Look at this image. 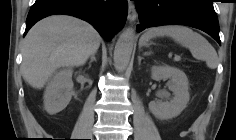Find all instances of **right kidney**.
Wrapping results in <instances>:
<instances>
[{
  "label": "right kidney",
  "mask_w": 236,
  "mask_h": 140,
  "mask_svg": "<svg viewBox=\"0 0 236 140\" xmlns=\"http://www.w3.org/2000/svg\"><path fill=\"white\" fill-rule=\"evenodd\" d=\"M72 69L58 71L48 83L44 93V109L54 115L62 111L70 102L73 88Z\"/></svg>",
  "instance_id": "1"
}]
</instances>
